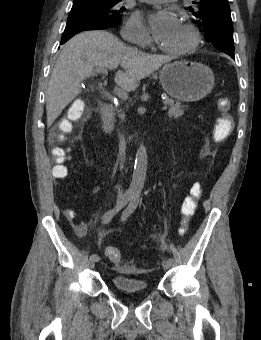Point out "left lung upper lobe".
Wrapping results in <instances>:
<instances>
[{
    "label": "left lung upper lobe",
    "mask_w": 261,
    "mask_h": 340,
    "mask_svg": "<svg viewBox=\"0 0 261 340\" xmlns=\"http://www.w3.org/2000/svg\"><path fill=\"white\" fill-rule=\"evenodd\" d=\"M189 10L197 17L205 39L220 51L234 54L233 24L228 0H197Z\"/></svg>",
    "instance_id": "1"
}]
</instances>
